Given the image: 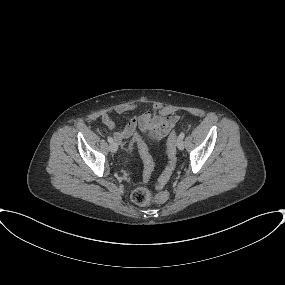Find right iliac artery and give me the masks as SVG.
I'll return each instance as SVG.
<instances>
[{"label":"right iliac artery","mask_w":285,"mask_h":285,"mask_svg":"<svg viewBox=\"0 0 285 285\" xmlns=\"http://www.w3.org/2000/svg\"><path fill=\"white\" fill-rule=\"evenodd\" d=\"M107 140H108L109 143L113 142V138L112 137H108Z\"/></svg>","instance_id":"82829eb1"}]
</instances>
